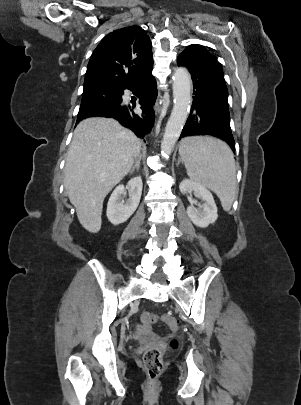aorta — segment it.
<instances>
[{
  "mask_svg": "<svg viewBox=\"0 0 301 405\" xmlns=\"http://www.w3.org/2000/svg\"><path fill=\"white\" fill-rule=\"evenodd\" d=\"M173 97V110L166 124L163 140L161 142V153L164 157H169L173 152L190 110L192 99L191 77L184 67L175 69L173 75Z\"/></svg>",
  "mask_w": 301,
  "mask_h": 405,
  "instance_id": "1",
  "label": "aorta"
}]
</instances>
